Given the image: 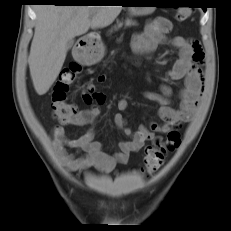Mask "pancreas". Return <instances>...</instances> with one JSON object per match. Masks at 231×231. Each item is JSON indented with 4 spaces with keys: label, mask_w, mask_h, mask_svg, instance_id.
I'll return each mask as SVG.
<instances>
[{
    "label": "pancreas",
    "mask_w": 231,
    "mask_h": 231,
    "mask_svg": "<svg viewBox=\"0 0 231 231\" xmlns=\"http://www.w3.org/2000/svg\"><path fill=\"white\" fill-rule=\"evenodd\" d=\"M123 25L125 27H131V26H136L137 23L136 21H133L132 19H126L124 22H117V25L114 27V30L120 29Z\"/></svg>",
    "instance_id": "pancreas-1"
}]
</instances>
